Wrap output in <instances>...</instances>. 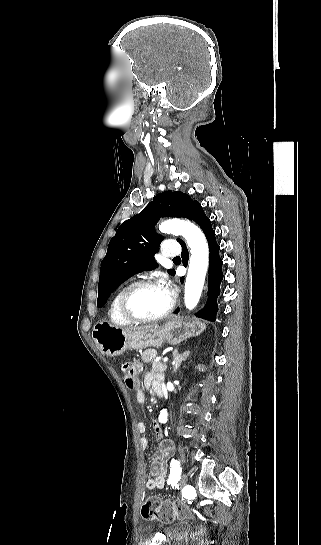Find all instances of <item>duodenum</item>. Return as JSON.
<instances>
[{
	"label": "duodenum",
	"mask_w": 321,
	"mask_h": 545,
	"mask_svg": "<svg viewBox=\"0 0 321 545\" xmlns=\"http://www.w3.org/2000/svg\"><path fill=\"white\" fill-rule=\"evenodd\" d=\"M157 394H158V395H162V393H161L160 391H158V393H157Z\"/></svg>",
	"instance_id": "1"
}]
</instances>
